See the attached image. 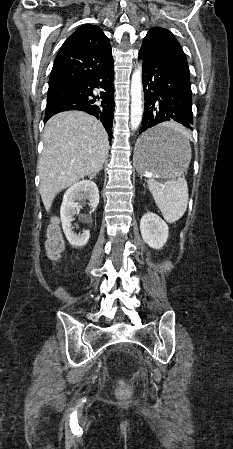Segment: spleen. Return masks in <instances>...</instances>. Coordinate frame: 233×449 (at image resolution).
<instances>
[{
  "label": "spleen",
  "mask_w": 233,
  "mask_h": 449,
  "mask_svg": "<svg viewBox=\"0 0 233 449\" xmlns=\"http://www.w3.org/2000/svg\"><path fill=\"white\" fill-rule=\"evenodd\" d=\"M168 125L185 135L183 129L174 123ZM148 188L167 222L175 223L184 215L188 205V190L186 181L181 175H178L177 179L167 180L164 183L150 179Z\"/></svg>",
  "instance_id": "spleen-1"
}]
</instances>
